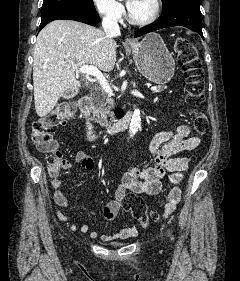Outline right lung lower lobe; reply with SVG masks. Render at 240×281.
Instances as JSON below:
<instances>
[{
  "label": "right lung lower lobe",
  "mask_w": 240,
  "mask_h": 281,
  "mask_svg": "<svg viewBox=\"0 0 240 281\" xmlns=\"http://www.w3.org/2000/svg\"><path fill=\"white\" fill-rule=\"evenodd\" d=\"M41 18L40 30L49 22L58 19L80 21L92 26H95L100 21L97 13H81L68 9L53 11Z\"/></svg>",
  "instance_id": "obj_1"
}]
</instances>
